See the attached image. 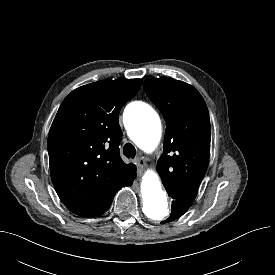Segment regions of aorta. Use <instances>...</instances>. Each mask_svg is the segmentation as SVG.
Returning a JSON list of instances; mask_svg holds the SVG:
<instances>
[{"instance_id": "1", "label": "aorta", "mask_w": 275, "mask_h": 275, "mask_svg": "<svg viewBox=\"0 0 275 275\" xmlns=\"http://www.w3.org/2000/svg\"><path fill=\"white\" fill-rule=\"evenodd\" d=\"M130 138L143 151L152 152L161 137L162 124L158 113L144 102H133L124 111ZM143 212L153 222H161L170 214L169 203L158 174L147 171L141 183Z\"/></svg>"}]
</instances>
